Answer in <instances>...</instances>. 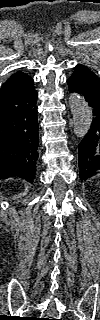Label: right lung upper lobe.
I'll return each mask as SVG.
<instances>
[{"mask_svg": "<svg viewBox=\"0 0 100 320\" xmlns=\"http://www.w3.org/2000/svg\"><path fill=\"white\" fill-rule=\"evenodd\" d=\"M33 87V79L21 71L14 73L2 86L0 100L20 97Z\"/></svg>", "mask_w": 100, "mask_h": 320, "instance_id": "obj_1", "label": "right lung upper lobe"}]
</instances>
